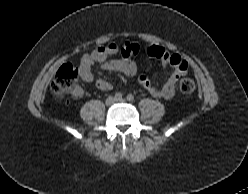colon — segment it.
I'll list each match as a JSON object with an SVG mask.
<instances>
[{"label":"colon","instance_id":"colon-1","mask_svg":"<svg viewBox=\"0 0 248 194\" xmlns=\"http://www.w3.org/2000/svg\"><path fill=\"white\" fill-rule=\"evenodd\" d=\"M79 76V70L72 64H63L57 71L53 83L52 91L59 97L63 98L76 86ZM179 91L184 95H190L195 90V82L189 76L181 78L178 84Z\"/></svg>","mask_w":248,"mask_h":194}]
</instances>
